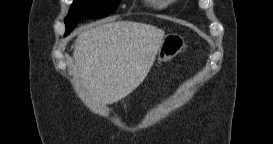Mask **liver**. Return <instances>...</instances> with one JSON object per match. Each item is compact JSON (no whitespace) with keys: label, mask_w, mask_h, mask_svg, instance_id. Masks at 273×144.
<instances>
[{"label":"liver","mask_w":273,"mask_h":144,"mask_svg":"<svg viewBox=\"0 0 273 144\" xmlns=\"http://www.w3.org/2000/svg\"><path fill=\"white\" fill-rule=\"evenodd\" d=\"M163 38L162 29L132 21L85 29L73 52L79 84L96 101L118 102L146 78Z\"/></svg>","instance_id":"1"}]
</instances>
